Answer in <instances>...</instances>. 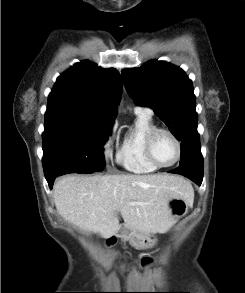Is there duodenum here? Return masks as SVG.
Returning a JSON list of instances; mask_svg holds the SVG:
<instances>
[{"label":"duodenum","instance_id":"410a0bca","mask_svg":"<svg viewBox=\"0 0 245 293\" xmlns=\"http://www.w3.org/2000/svg\"><path fill=\"white\" fill-rule=\"evenodd\" d=\"M127 230L125 227L122 226H115L113 228V235L118 237V238H122L126 235Z\"/></svg>","mask_w":245,"mask_h":293}]
</instances>
